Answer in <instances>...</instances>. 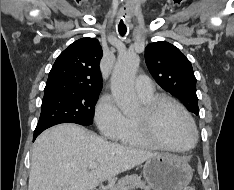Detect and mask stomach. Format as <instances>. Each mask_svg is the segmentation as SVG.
Here are the masks:
<instances>
[{"label":"stomach","mask_w":234,"mask_h":190,"mask_svg":"<svg viewBox=\"0 0 234 190\" xmlns=\"http://www.w3.org/2000/svg\"><path fill=\"white\" fill-rule=\"evenodd\" d=\"M190 165L177 156L159 154L146 161L143 177L153 190H183L191 182Z\"/></svg>","instance_id":"obj_1"}]
</instances>
